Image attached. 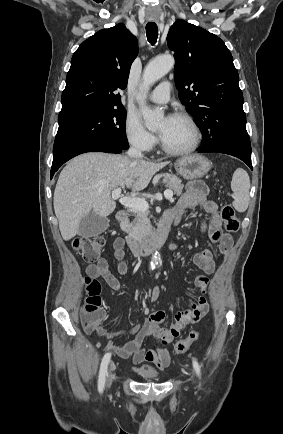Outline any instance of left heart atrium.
<instances>
[{"label": "left heart atrium", "mask_w": 283, "mask_h": 434, "mask_svg": "<svg viewBox=\"0 0 283 434\" xmlns=\"http://www.w3.org/2000/svg\"><path fill=\"white\" fill-rule=\"evenodd\" d=\"M171 119H172V117H167V118L165 119V122H164L163 127L159 130V134H160V136H161L162 138H163V136L165 135V133H166L168 127H169V124H170V122H171Z\"/></svg>", "instance_id": "1"}]
</instances>
